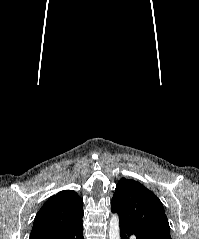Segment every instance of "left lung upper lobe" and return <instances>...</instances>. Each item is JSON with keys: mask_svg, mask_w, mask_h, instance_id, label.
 <instances>
[{"mask_svg": "<svg viewBox=\"0 0 199 239\" xmlns=\"http://www.w3.org/2000/svg\"><path fill=\"white\" fill-rule=\"evenodd\" d=\"M111 210L144 239H171L161 201L139 182L120 179L111 201Z\"/></svg>", "mask_w": 199, "mask_h": 239, "instance_id": "5c2ea615", "label": "left lung upper lobe"}]
</instances>
